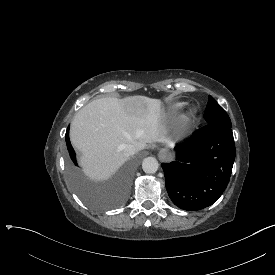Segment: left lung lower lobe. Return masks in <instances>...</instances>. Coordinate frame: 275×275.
Instances as JSON below:
<instances>
[{
    "mask_svg": "<svg viewBox=\"0 0 275 275\" xmlns=\"http://www.w3.org/2000/svg\"><path fill=\"white\" fill-rule=\"evenodd\" d=\"M175 149L177 160L161 164L170 199L187 211L212 205L225 191L235 160L231 125L207 124Z\"/></svg>",
    "mask_w": 275,
    "mask_h": 275,
    "instance_id": "left-lung-lower-lobe-1",
    "label": "left lung lower lobe"
}]
</instances>
